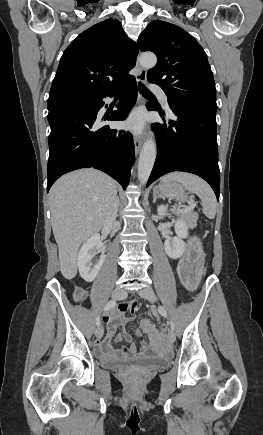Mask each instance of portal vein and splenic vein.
Here are the masks:
<instances>
[{
    "mask_svg": "<svg viewBox=\"0 0 263 435\" xmlns=\"http://www.w3.org/2000/svg\"><path fill=\"white\" fill-rule=\"evenodd\" d=\"M193 208H194V205H193V204H190V206L187 207V208L184 209V210L189 211V210H193Z\"/></svg>",
    "mask_w": 263,
    "mask_h": 435,
    "instance_id": "portal-vein-and-splenic-vein-1",
    "label": "portal vein and splenic vein"
}]
</instances>
